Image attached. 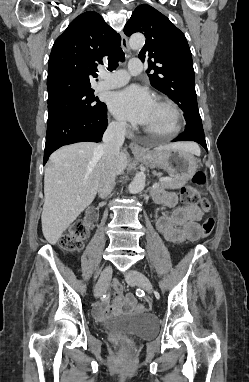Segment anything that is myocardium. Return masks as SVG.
Instances as JSON below:
<instances>
[{
	"mask_svg": "<svg viewBox=\"0 0 249 382\" xmlns=\"http://www.w3.org/2000/svg\"><path fill=\"white\" fill-rule=\"evenodd\" d=\"M157 103L166 107L172 114V127L169 131L165 133H154L146 128H144V131L152 137L158 138V139H170L173 138L178 134V132L181 129V122H182V117L179 108L175 103H173L171 100L166 99V98H159L157 100Z\"/></svg>",
	"mask_w": 249,
	"mask_h": 382,
	"instance_id": "f54148a6",
	"label": "myocardium"
}]
</instances>
